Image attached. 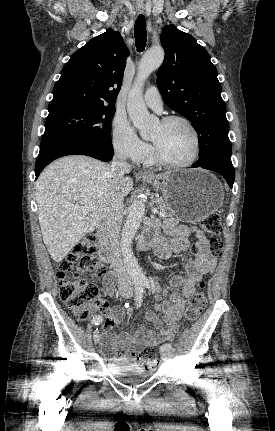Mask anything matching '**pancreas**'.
Wrapping results in <instances>:
<instances>
[{
	"label": "pancreas",
	"instance_id": "1",
	"mask_svg": "<svg viewBox=\"0 0 275 431\" xmlns=\"http://www.w3.org/2000/svg\"><path fill=\"white\" fill-rule=\"evenodd\" d=\"M156 204L159 211L162 212L165 217H169L172 215V213L169 211V206L162 198L157 199Z\"/></svg>",
	"mask_w": 275,
	"mask_h": 431
}]
</instances>
